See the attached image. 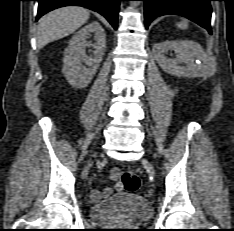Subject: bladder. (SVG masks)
<instances>
[{"label": "bladder", "mask_w": 234, "mask_h": 231, "mask_svg": "<svg viewBox=\"0 0 234 231\" xmlns=\"http://www.w3.org/2000/svg\"><path fill=\"white\" fill-rule=\"evenodd\" d=\"M89 212L96 220L146 221L152 215V206L148 200L138 194L123 193L91 206Z\"/></svg>", "instance_id": "bladder-1"}]
</instances>
